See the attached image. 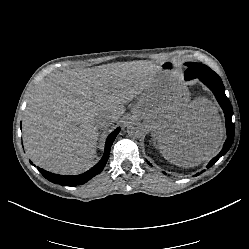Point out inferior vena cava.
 <instances>
[{
    "label": "inferior vena cava",
    "instance_id": "1",
    "mask_svg": "<svg viewBox=\"0 0 249 249\" xmlns=\"http://www.w3.org/2000/svg\"><path fill=\"white\" fill-rule=\"evenodd\" d=\"M95 123L99 129H106L107 127L112 125V117L108 116L107 114H103L95 120ZM135 125H142V124L138 123Z\"/></svg>",
    "mask_w": 249,
    "mask_h": 249
}]
</instances>
